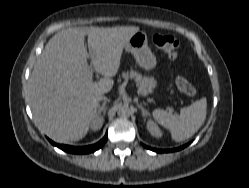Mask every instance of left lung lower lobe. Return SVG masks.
Instances as JSON below:
<instances>
[{"instance_id": "left-lung-lower-lobe-1", "label": "left lung lower lobe", "mask_w": 249, "mask_h": 188, "mask_svg": "<svg viewBox=\"0 0 249 188\" xmlns=\"http://www.w3.org/2000/svg\"><path fill=\"white\" fill-rule=\"evenodd\" d=\"M188 144H186V145H184V146H181V147H179V148H176V149H172V150H161V149H155V148H151V147H148V146H145V145H143L145 148H147V149H150V150H152V151H155V152H157V153H162V152H168V151H178V150H181V149H183L184 147H186Z\"/></svg>"}]
</instances>
